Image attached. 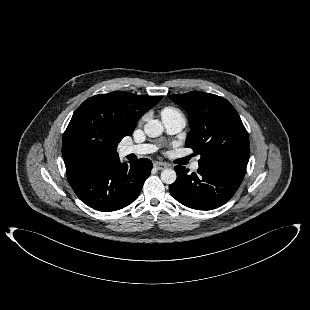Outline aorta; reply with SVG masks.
Listing matches in <instances>:
<instances>
[{"label":"aorta","mask_w":310,"mask_h":310,"mask_svg":"<svg viewBox=\"0 0 310 310\" xmlns=\"http://www.w3.org/2000/svg\"><path fill=\"white\" fill-rule=\"evenodd\" d=\"M163 125L159 120H149L144 126V132L147 136L155 138L163 133ZM177 175L173 169H164L161 172V180L165 184H172L176 181Z\"/></svg>","instance_id":"762f6f07"}]
</instances>
